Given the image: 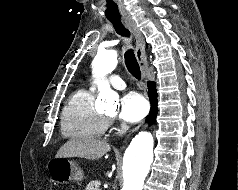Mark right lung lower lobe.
<instances>
[{"mask_svg": "<svg viewBox=\"0 0 238 190\" xmlns=\"http://www.w3.org/2000/svg\"><path fill=\"white\" fill-rule=\"evenodd\" d=\"M148 96L151 103V110L147 122L151 125L155 122L158 108H157V91L154 82H148Z\"/></svg>", "mask_w": 238, "mask_h": 190, "instance_id": "1", "label": "right lung lower lobe"}]
</instances>
